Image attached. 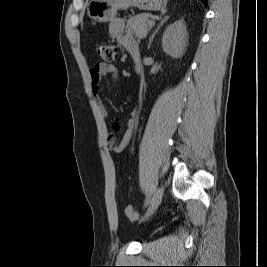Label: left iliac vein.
I'll return each mask as SVG.
<instances>
[{"label": "left iliac vein", "mask_w": 267, "mask_h": 267, "mask_svg": "<svg viewBox=\"0 0 267 267\" xmlns=\"http://www.w3.org/2000/svg\"><path fill=\"white\" fill-rule=\"evenodd\" d=\"M163 193H164V188L163 187H158L149 204V207L147 209V212L144 216V219L148 218L151 214L154 213V211L158 208V206L160 205L161 201H162V197H163Z\"/></svg>", "instance_id": "1"}]
</instances>
